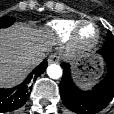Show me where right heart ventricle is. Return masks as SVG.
Returning <instances> with one entry per match:
<instances>
[{
	"label": "right heart ventricle",
	"mask_w": 114,
	"mask_h": 114,
	"mask_svg": "<svg viewBox=\"0 0 114 114\" xmlns=\"http://www.w3.org/2000/svg\"><path fill=\"white\" fill-rule=\"evenodd\" d=\"M77 26V21L68 19L54 20L48 24V28L62 41L72 37Z\"/></svg>",
	"instance_id": "obj_1"
}]
</instances>
